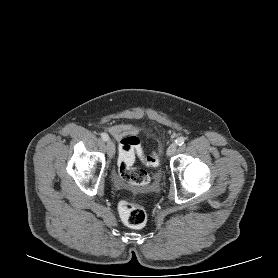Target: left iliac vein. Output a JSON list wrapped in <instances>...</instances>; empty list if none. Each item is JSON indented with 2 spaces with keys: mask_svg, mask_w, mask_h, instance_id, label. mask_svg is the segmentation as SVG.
Wrapping results in <instances>:
<instances>
[{
  "mask_svg": "<svg viewBox=\"0 0 278 278\" xmlns=\"http://www.w3.org/2000/svg\"><path fill=\"white\" fill-rule=\"evenodd\" d=\"M176 149H177V144L171 143L167 149V155L172 156L175 153Z\"/></svg>",
  "mask_w": 278,
  "mask_h": 278,
  "instance_id": "1",
  "label": "left iliac vein"
}]
</instances>
